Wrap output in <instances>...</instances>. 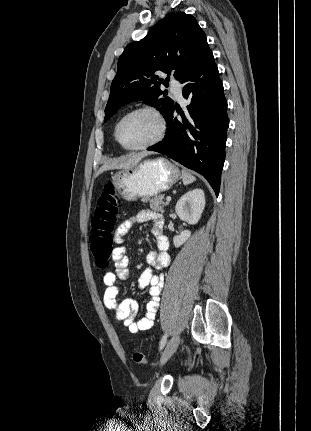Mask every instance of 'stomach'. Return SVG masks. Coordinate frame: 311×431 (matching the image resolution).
Wrapping results in <instances>:
<instances>
[{
	"label": "stomach",
	"instance_id": "stomach-1",
	"mask_svg": "<svg viewBox=\"0 0 311 431\" xmlns=\"http://www.w3.org/2000/svg\"><path fill=\"white\" fill-rule=\"evenodd\" d=\"M181 172L166 158L143 160L138 166L118 170L111 176V184L122 200L136 202L139 198H153L170 190L181 180Z\"/></svg>",
	"mask_w": 311,
	"mask_h": 431
}]
</instances>
